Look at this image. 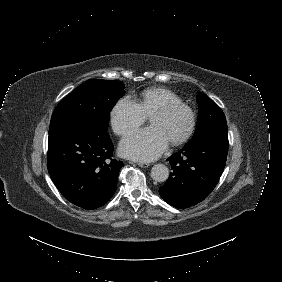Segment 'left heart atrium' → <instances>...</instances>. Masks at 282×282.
<instances>
[{
  "label": "left heart atrium",
  "mask_w": 282,
  "mask_h": 282,
  "mask_svg": "<svg viewBox=\"0 0 282 282\" xmlns=\"http://www.w3.org/2000/svg\"><path fill=\"white\" fill-rule=\"evenodd\" d=\"M168 144L164 133L156 126L129 132L121 141V152L134 160L149 161L157 158Z\"/></svg>",
  "instance_id": "left-heart-atrium-1"
}]
</instances>
